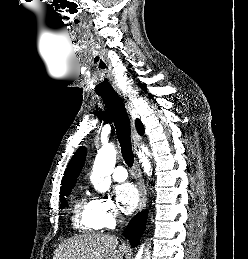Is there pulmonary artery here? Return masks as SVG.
I'll return each instance as SVG.
<instances>
[{"mask_svg":"<svg viewBox=\"0 0 248 259\" xmlns=\"http://www.w3.org/2000/svg\"><path fill=\"white\" fill-rule=\"evenodd\" d=\"M112 177L115 181L122 182V181L126 180V178H127V171L123 166H117L113 170Z\"/></svg>","mask_w":248,"mask_h":259,"instance_id":"obj_1","label":"pulmonary artery"}]
</instances>
